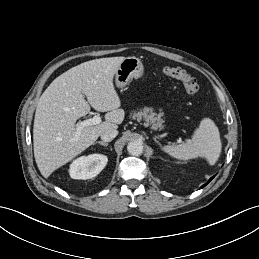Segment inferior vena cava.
<instances>
[{"mask_svg": "<svg viewBox=\"0 0 259 259\" xmlns=\"http://www.w3.org/2000/svg\"><path fill=\"white\" fill-rule=\"evenodd\" d=\"M118 135V131L116 129H108L106 131H104L101 134V139L104 142H110L112 141L116 136Z\"/></svg>", "mask_w": 259, "mask_h": 259, "instance_id": "obj_1", "label": "inferior vena cava"}]
</instances>
